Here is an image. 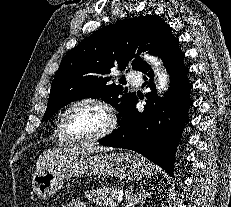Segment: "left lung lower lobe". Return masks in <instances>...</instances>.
Returning <instances> with one entry per match:
<instances>
[{"instance_id":"obj_1","label":"left lung lower lobe","mask_w":231,"mask_h":207,"mask_svg":"<svg viewBox=\"0 0 231 207\" xmlns=\"http://www.w3.org/2000/svg\"><path fill=\"white\" fill-rule=\"evenodd\" d=\"M184 56L178 39L159 56L172 80L165 98L156 94L151 68L147 65L142 70L146 74L145 84L152 90L146 94L144 111L136 109V97L121 117L120 127L99 140L101 145L134 150L173 176L176 146L191 105L189 92L192 86L187 79L189 70L183 63Z\"/></svg>"}]
</instances>
